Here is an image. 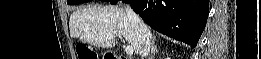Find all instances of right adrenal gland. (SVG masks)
<instances>
[{"instance_id":"obj_1","label":"right adrenal gland","mask_w":261,"mask_h":59,"mask_svg":"<svg viewBox=\"0 0 261 59\" xmlns=\"http://www.w3.org/2000/svg\"><path fill=\"white\" fill-rule=\"evenodd\" d=\"M158 51H159V49L155 45V37H154L153 41H152V48H151V53H152L151 59H154V56H155L156 53H158Z\"/></svg>"}]
</instances>
